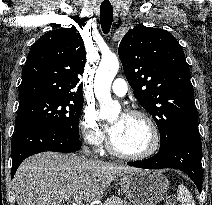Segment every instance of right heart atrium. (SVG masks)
Masks as SVG:
<instances>
[{
	"instance_id": "d8ad5b80",
	"label": "right heart atrium",
	"mask_w": 212,
	"mask_h": 205,
	"mask_svg": "<svg viewBox=\"0 0 212 205\" xmlns=\"http://www.w3.org/2000/svg\"><path fill=\"white\" fill-rule=\"evenodd\" d=\"M79 130L82 141L90 147L98 148L104 141V134L99 125L96 113L92 109H85L82 113Z\"/></svg>"
}]
</instances>
